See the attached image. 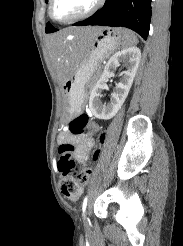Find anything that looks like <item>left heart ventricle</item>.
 Masks as SVG:
<instances>
[{
    "label": "left heart ventricle",
    "mask_w": 183,
    "mask_h": 246,
    "mask_svg": "<svg viewBox=\"0 0 183 246\" xmlns=\"http://www.w3.org/2000/svg\"><path fill=\"white\" fill-rule=\"evenodd\" d=\"M94 2L95 0H55L53 13L57 19H69L86 12Z\"/></svg>",
    "instance_id": "obj_1"
}]
</instances>
